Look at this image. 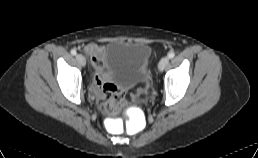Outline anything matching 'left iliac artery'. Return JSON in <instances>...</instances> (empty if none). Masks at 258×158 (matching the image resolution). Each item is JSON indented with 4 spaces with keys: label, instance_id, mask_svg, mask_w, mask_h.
Segmentation results:
<instances>
[{
    "label": "left iliac artery",
    "instance_id": "1",
    "mask_svg": "<svg viewBox=\"0 0 258 158\" xmlns=\"http://www.w3.org/2000/svg\"><path fill=\"white\" fill-rule=\"evenodd\" d=\"M174 56H175V52L170 51V52L168 53V58H169V59L174 58Z\"/></svg>",
    "mask_w": 258,
    "mask_h": 158
}]
</instances>
